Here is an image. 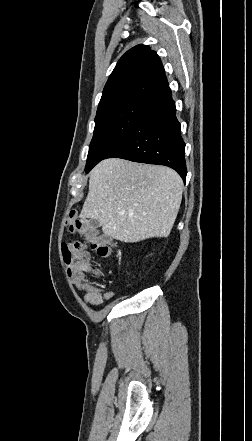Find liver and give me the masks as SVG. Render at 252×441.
Masks as SVG:
<instances>
[{"label":"liver","instance_id":"6515ba94","mask_svg":"<svg viewBox=\"0 0 252 441\" xmlns=\"http://www.w3.org/2000/svg\"><path fill=\"white\" fill-rule=\"evenodd\" d=\"M183 181L171 168L123 159H105L90 173L80 213L122 242L167 237L177 217Z\"/></svg>","mask_w":252,"mask_h":441}]
</instances>
